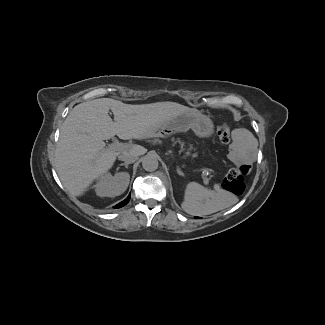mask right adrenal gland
<instances>
[{
  "instance_id": "obj_1",
  "label": "right adrenal gland",
  "mask_w": 325,
  "mask_h": 325,
  "mask_svg": "<svg viewBox=\"0 0 325 325\" xmlns=\"http://www.w3.org/2000/svg\"><path fill=\"white\" fill-rule=\"evenodd\" d=\"M120 166H125L126 168H128V163H121Z\"/></svg>"
}]
</instances>
